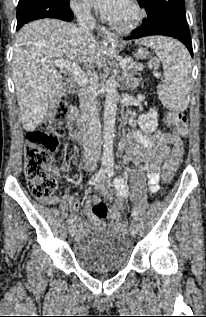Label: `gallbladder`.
<instances>
[{
	"label": "gallbladder",
	"instance_id": "1",
	"mask_svg": "<svg viewBox=\"0 0 206 317\" xmlns=\"http://www.w3.org/2000/svg\"><path fill=\"white\" fill-rule=\"evenodd\" d=\"M68 87H69V83H68V82H65V83L63 84V90H64V89H68ZM63 93H64V91L61 92V94H63Z\"/></svg>",
	"mask_w": 206,
	"mask_h": 317
}]
</instances>
